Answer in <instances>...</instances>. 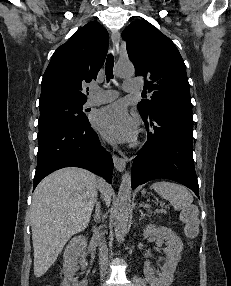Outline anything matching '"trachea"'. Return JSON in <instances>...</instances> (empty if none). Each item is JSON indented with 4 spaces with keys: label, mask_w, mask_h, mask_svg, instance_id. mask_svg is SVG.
<instances>
[{
    "label": "trachea",
    "mask_w": 231,
    "mask_h": 286,
    "mask_svg": "<svg viewBox=\"0 0 231 286\" xmlns=\"http://www.w3.org/2000/svg\"><path fill=\"white\" fill-rule=\"evenodd\" d=\"M113 67H114V57L110 53L107 56L106 66H105V73H106L107 82H109L111 79H113Z\"/></svg>",
    "instance_id": "1"
}]
</instances>
